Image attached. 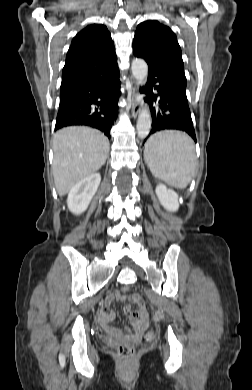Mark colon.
<instances>
[{
	"mask_svg": "<svg viewBox=\"0 0 252 390\" xmlns=\"http://www.w3.org/2000/svg\"><path fill=\"white\" fill-rule=\"evenodd\" d=\"M133 301L141 300L138 295L132 296ZM136 353V347L133 344H122L117 348L118 359L122 363H127L133 359Z\"/></svg>",
	"mask_w": 252,
	"mask_h": 390,
	"instance_id": "colon-1",
	"label": "colon"
}]
</instances>
